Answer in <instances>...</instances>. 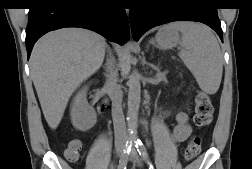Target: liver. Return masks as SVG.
<instances>
[{
    "mask_svg": "<svg viewBox=\"0 0 252 169\" xmlns=\"http://www.w3.org/2000/svg\"><path fill=\"white\" fill-rule=\"evenodd\" d=\"M105 39L90 30L64 28L41 37L30 56L31 77L51 129H56L80 84L102 65Z\"/></svg>",
    "mask_w": 252,
    "mask_h": 169,
    "instance_id": "liver-1",
    "label": "liver"
}]
</instances>
